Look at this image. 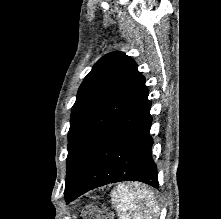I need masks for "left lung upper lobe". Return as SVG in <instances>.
<instances>
[{
    "label": "left lung upper lobe",
    "instance_id": "obj_1",
    "mask_svg": "<svg viewBox=\"0 0 221 219\" xmlns=\"http://www.w3.org/2000/svg\"><path fill=\"white\" fill-rule=\"evenodd\" d=\"M145 88L137 64L121 52L102 57L85 77L71 113L65 198L104 134Z\"/></svg>",
    "mask_w": 221,
    "mask_h": 219
}]
</instances>
